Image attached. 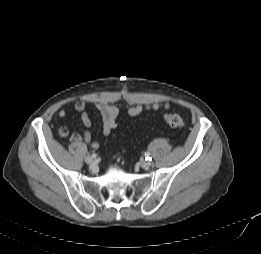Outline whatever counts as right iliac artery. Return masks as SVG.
<instances>
[{
    "instance_id": "82829eb1",
    "label": "right iliac artery",
    "mask_w": 261,
    "mask_h": 254,
    "mask_svg": "<svg viewBox=\"0 0 261 254\" xmlns=\"http://www.w3.org/2000/svg\"><path fill=\"white\" fill-rule=\"evenodd\" d=\"M91 156H92V158H95V157H96V154H95V153H93Z\"/></svg>"
}]
</instances>
